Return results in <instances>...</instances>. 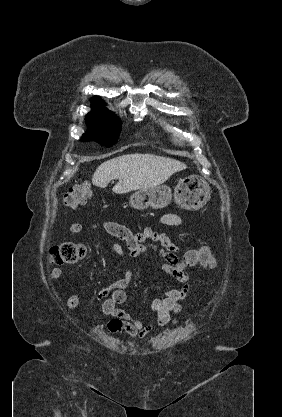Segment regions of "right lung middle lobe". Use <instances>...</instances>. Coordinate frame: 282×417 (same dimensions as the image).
<instances>
[{"mask_svg": "<svg viewBox=\"0 0 282 417\" xmlns=\"http://www.w3.org/2000/svg\"><path fill=\"white\" fill-rule=\"evenodd\" d=\"M85 121L90 130L85 135L89 139L106 147H111L117 142L121 122L112 112L102 107L101 101H94L93 110L86 115Z\"/></svg>", "mask_w": 282, "mask_h": 417, "instance_id": "1", "label": "right lung middle lobe"}]
</instances>
